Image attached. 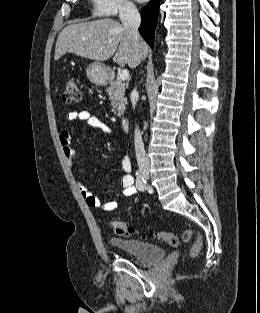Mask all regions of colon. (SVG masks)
Here are the masks:
<instances>
[{
  "instance_id": "colon-1",
  "label": "colon",
  "mask_w": 260,
  "mask_h": 313,
  "mask_svg": "<svg viewBox=\"0 0 260 313\" xmlns=\"http://www.w3.org/2000/svg\"><path fill=\"white\" fill-rule=\"evenodd\" d=\"M62 98L66 103H75L80 101L81 91L78 82L75 79H70L66 82ZM109 224L113 231L119 236L132 237L137 234L134 226L118 218L110 219ZM150 236L159 242L166 243L172 247L179 245V238L170 231H159L152 233ZM192 239H194L195 242L190 249L189 255L191 257H196L199 255L203 246L202 238L195 230H185L182 234V240L184 242H188Z\"/></svg>"
}]
</instances>
